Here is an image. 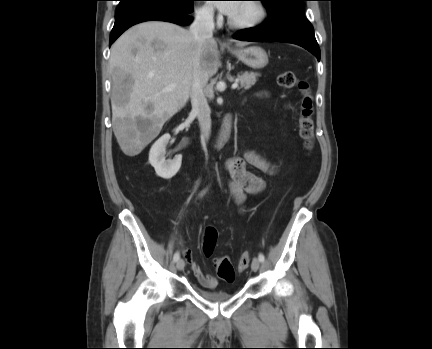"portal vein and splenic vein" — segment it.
Returning a JSON list of instances; mask_svg holds the SVG:
<instances>
[{"label": "portal vein and splenic vein", "mask_w": 432, "mask_h": 349, "mask_svg": "<svg viewBox=\"0 0 432 349\" xmlns=\"http://www.w3.org/2000/svg\"><path fill=\"white\" fill-rule=\"evenodd\" d=\"M174 87H175V84H172V85L168 86L167 88H165V90L168 91V90L173 89ZM237 87H238V82L233 83L231 86L232 89H236Z\"/></svg>", "instance_id": "portal-vein-and-splenic-vein-1"}]
</instances>
